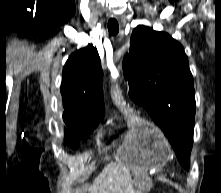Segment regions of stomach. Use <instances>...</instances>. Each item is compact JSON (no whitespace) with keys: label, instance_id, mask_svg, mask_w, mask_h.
I'll return each instance as SVG.
<instances>
[{"label":"stomach","instance_id":"stomach-1","mask_svg":"<svg viewBox=\"0 0 221 193\" xmlns=\"http://www.w3.org/2000/svg\"><path fill=\"white\" fill-rule=\"evenodd\" d=\"M115 107L119 112H126L127 123L132 127V133L128 134L132 142H127L122 159H118L121 167H132L133 177H136L137 188L129 193H146L149 189L145 182H148V172L152 167H163L168 155V142H164L160 129L151 125L147 120H142V115H136L131 107H126V102L121 98H113Z\"/></svg>","mask_w":221,"mask_h":193}]
</instances>
